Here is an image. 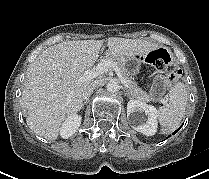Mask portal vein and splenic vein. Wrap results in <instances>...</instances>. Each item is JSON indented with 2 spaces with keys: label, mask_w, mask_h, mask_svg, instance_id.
I'll return each mask as SVG.
<instances>
[{
  "label": "portal vein and splenic vein",
  "mask_w": 209,
  "mask_h": 179,
  "mask_svg": "<svg viewBox=\"0 0 209 179\" xmlns=\"http://www.w3.org/2000/svg\"><path fill=\"white\" fill-rule=\"evenodd\" d=\"M109 69H113L115 71V73L117 74L118 78L120 79V81L124 84L125 87L128 88V84H127L126 80L123 78V76L121 75L120 70L118 69L116 64L110 60H104V61L100 62L93 69L86 70L83 73V75L79 78V81L85 82V81L94 79V78L102 75L103 73L107 72ZM162 102L164 103L165 100H162Z\"/></svg>",
  "instance_id": "obj_1"
}]
</instances>
